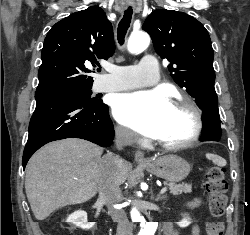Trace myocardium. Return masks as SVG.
Returning <instances> with one entry per match:
<instances>
[{"label": "myocardium", "mask_w": 250, "mask_h": 235, "mask_svg": "<svg viewBox=\"0 0 250 235\" xmlns=\"http://www.w3.org/2000/svg\"><path fill=\"white\" fill-rule=\"evenodd\" d=\"M171 106L179 109H186L192 115L194 122L192 132L186 139L181 141L163 142L154 139V143L166 150H178L194 145L199 140L204 127L203 114L201 109L191 98L188 97L176 99L172 102Z\"/></svg>", "instance_id": "obj_1"}]
</instances>
